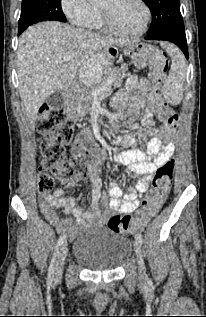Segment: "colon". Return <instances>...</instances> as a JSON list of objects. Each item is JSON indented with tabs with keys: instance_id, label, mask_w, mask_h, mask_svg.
Wrapping results in <instances>:
<instances>
[{
	"instance_id": "1",
	"label": "colon",
	"mask_w": 206,
	"mask_h": 317,
	"mask_svg": "<svg viewBox=\"0 0 206 317\" xmlns=\"http://www.w3.org/2000/svg\"><path fill=\"white\" fill-rule=\"evenodd\" d=\"M150 69L151 81L160 88L168 69V59L163 51L158 50L153 53ZM166 122L176 127L177 114L173 112ZM36 129L41 134V165L44 170L51 172L62 183L75 182L90 174L91 165L96 159V141L89 132L81 134L76 140L72 156H67V147L73 139L74 126L62 109L44 105ZM174 169L173 159L160 166L152 178V188L144 197L142 207L136 216L132 217L127 213L111 216L107 220L108 227L118 233L132 234L145 226L162 207L171 187ZM53 187L52 176L47 173L41 174L38 180L40 197L47 196Z\"/></svg>"
}]
</instances>
